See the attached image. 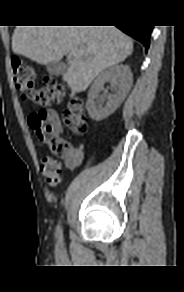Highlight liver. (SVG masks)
<instances>
[{"label": "liver", "mask_w": 184, "mask_h": 292, "mask_svg": "<svg viewBox=\"0 0 184 292\" xmlns=\"http://www.w3.org/2000/svg\"><path fill=\"white\" fill-rule=\"evenodd\" d=\"M12 50L42 65L72 54L63 81L82 92L99 73L131 55L133 42L114 26H17Z\"/></svg>", "instance_id": "1"}]
</instances>
